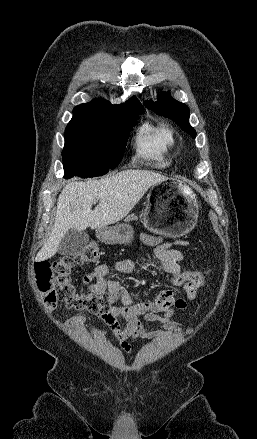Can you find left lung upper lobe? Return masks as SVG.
I'll return each mask as SVG.
<instances>
[{
	"label": "left lung upper lobe",
	"instance_id": "5c2ea615",
	"mask_svg": "<svg viewBox=\"0 0 257 439\" xmlns=\"http://www.w3.org/2000/svg\"><path fill=\"white\" fill-rule=\"evenodd\" d=\"M144 105L158 115L172 119L183 131L193 138L196 137V131L189 124V108L184 103L174 100L169 93H162L156 102L145 101Z\"/></svg>",
	"mask_w": 257,
	"mask_h": 439
}]
</instances>
